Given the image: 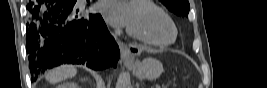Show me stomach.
Listing matches in <instances>:
<instances>
[{"label":"stomach","instance_id":"0dacf381","mask_svg":"<svg viewBox=\"0 0 267 88\" xmlns=\"http://www.w3.org/2000/svg\"><path fill=\"white\" fill-rule=\"evenodd\" d=\"M133 74L141 79L154 80L158 78L163 72L162 63L154 58H146L142 62L136 61L127 64Z\"/></svg>","mask_w":267,"mask_h":88}]
</instances>
